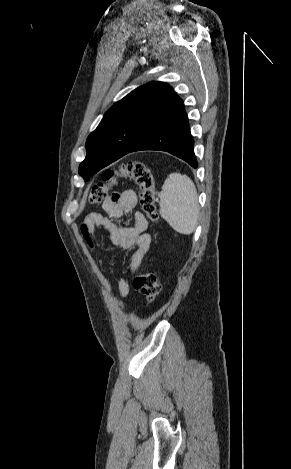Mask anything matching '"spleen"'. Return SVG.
Returning a JSON list of instances; mask_svg holds the SVG:
<instances>
[{"label": "spleen", "instance_id": "spleen-1", "mask_svg": "<svg viewBox=\"0 0 291 469\" xmlns=\"http://www.w3.org/2000/svg\"><path fill=\"white\" fill-rule=\"evenodd\" d=\"M160 215L177 232L189 235L197 226L199 204L196 187L186 175L171 173L159 193Z\"/></svg>", "mask_w": 291, "mask_h": 469}]
</instances>
